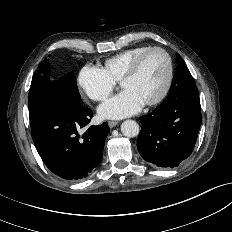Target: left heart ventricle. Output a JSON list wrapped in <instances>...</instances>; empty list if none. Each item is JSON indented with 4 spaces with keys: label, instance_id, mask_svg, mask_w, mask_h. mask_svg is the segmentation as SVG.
I'll return each instance as SVG.
<instances>
[{
    "label": "left heart ventricle",
    "instance_id": "1",
    "mask_svg": "<svg viewBox=\"0 0 232 232\" xmlns=\"http://www.w3.org/2000/svg\"><path fill=\"white\" fill-rule=\"evenodd\" d=\"M167 77V60L161 52L149 54L133 78L121 87L129 90L144 103L155 98L162 90Z\"/></svg>",
    "mask_w": 232,
    "mask_h": 232
}]
</instances>
